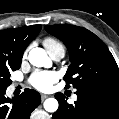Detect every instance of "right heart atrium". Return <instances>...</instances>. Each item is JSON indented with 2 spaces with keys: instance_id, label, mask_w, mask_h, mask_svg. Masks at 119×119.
Wrapping results in <instances>:
<instances>
[{
  "instance_id": "right-heart-atrium-1",
  "label": "right heart atrium",
  "mask_w": 119,
  "mask_h": 119,
  "mask_svg": "<svg viewBox=\"0 0 119 119\" xmlns=\"http://www.w3.org/2000/svg\"><path fill=\"white\" fill-rule=\"evenodd\" d=\"M26 55H27V53L25 52V53H24V55H23V57L25 58V57H26Z\"/></svg>"
}]
</instances>
